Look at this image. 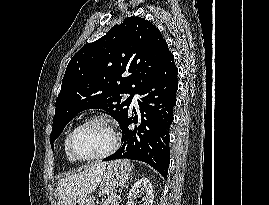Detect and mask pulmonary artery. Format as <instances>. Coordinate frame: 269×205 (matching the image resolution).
<instances>
[{
    "mask_svg": "<svg viewBox=\"0 0 269 205\" xmlns=\"http://www.w3.org/2000/svg\"><path fill=\"white\" fill-rule=\"evenodd\" d=\"M137 99H138V95H134L133 100H132V104H133L134 106L137 105Z\"/></svg>",
    "mask_w": 269,
    "mask_h": 205,
    "instance_id": "pulmonary-artery-1",
    "label": "pulmonary artery"
}]
</instances>
